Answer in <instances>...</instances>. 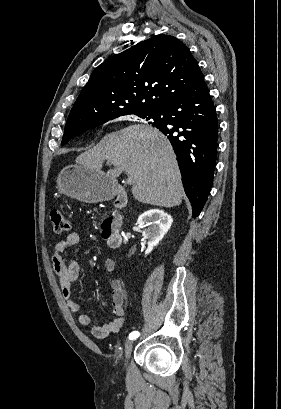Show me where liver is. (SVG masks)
<instances>
[{
	"label": "liver",
	"mask_w": 281,
	"mask_h": 409,
	"mask_svg": "<svg viewBox=\"0 0 281 409\" xmlns=\"http://www.w3.org/2000/svg\"><path fill=\"white\" fill-rule=\"evenodd\" d=\"M104 160L114 164L106 174L116 180L121 172L133 176L132 194L155 207H178L184 188L172 146L159 128L130 124L104 138L76 158L78 164L101 170Z\"/></svg>",
	"instance_id": "1"
}]
</instances>
